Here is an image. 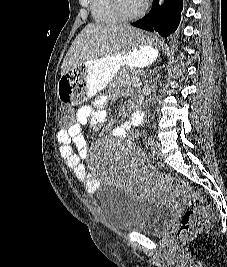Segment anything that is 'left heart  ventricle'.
I'll return each mask as SVG.
<instances>
[{
  "label": "left heart ventricle",
  "mask_w": 227,
  "mask_h": 267,
  "mask_svg": "<svg viewBox=\"0 0 227 267\" xmlns=\"http://www.w3.org/2000/svg\"><path fill=\"white\" fill-rule=\"evenodd\" d=\"M122 1L124 8L129 13L136 12L138 9L142 7L137 0H122Z\"/></svg>",
  "instance_id": "b2bd125f"
}]
</instances>
